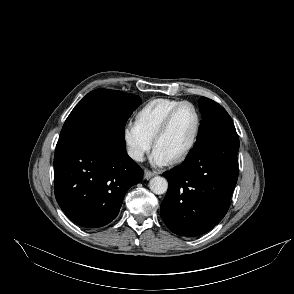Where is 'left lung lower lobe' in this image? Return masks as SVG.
<instances>
[{
    "label": "left lung lower lobe",
    "instance_id": "0a47b994",
    "mask_svg": "<svg viewBox=\"0 0 294 294\" xmlns=\"http://www.w3.org/2000/svg\"><path fill=\"white\" fill-rule=\"evenodd\" d=\"M236 130L200 138L184 162L165 173L169 187L161 218L175 234L198 236L217 225L229 208L238 178Z\"/></svg>",
    "mask_w": 294,
    "mask_h": 294
}]
</instances>
